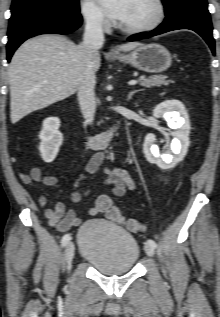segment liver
<instances>
[{
  "instance_id": "liver-1",
  "label": "liver",
  "mask_w": 220,
  "mask_h": 317,
  "mask_svg": "<svg viewBox=\"0 0 220 317\" xmlns=\"http://www.w3.org/2000/svg\"><path fill=\"white\" fill-rule=\"evenodd\" d=\"M142 44L129 42L119 47L128 52ZM101 65L97 51L94 73ZM86 69V52L59 35H40L24 42L14 53L8 69L10 118L15 124L26 115L73 95Z\"/></svg>"
}]
</instances>
